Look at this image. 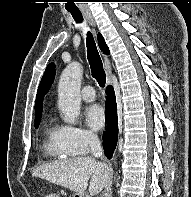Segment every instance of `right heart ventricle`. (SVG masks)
<instances>
[{"mask_svg":"<svg viewBox=\"0 0 191 197\" xmlns=\"http://www.w3.org/2000/svg\"><path fill=\"white\" fill-rule=\"evenodd\" d=\"M42 150L46 156L54 159L62 160L70 156L62 147L60 128L50 122L43 128Z\"/></svg>","mask_w":191,"mask_h":197,"instance_id":"1","label":"right heart ventricle"}]
</instances>
